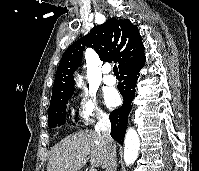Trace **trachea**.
Masks as SVG:
<instances>
[{"label": "trachea", "instance_id": "obj_1", "mask_svg": "<svg viewBox=\"0 0 199 171\" xmlns=\"http://www.w3.org/2000/svg\"><path fill=\"white\" fill-rule=\"evenodd\" d=\"M113 72H114L115 74H119V71H118V68H117L116 65H114V67H113Z\"/></svg>", "mask_w": 199, "mask_h": 171}]
</instances>
